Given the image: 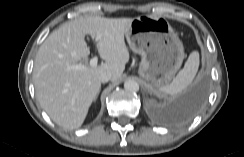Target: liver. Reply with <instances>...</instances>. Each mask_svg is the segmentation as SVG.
I'll return each mask as SVG.
<instances>
[{"mask_svg":"<svg viewBox=\"0 0 244 157\" xmlns=\"http://www.w3.org/2000/svg\"><path fill=\"white\" fill-rule=\"evenodd\" d=\"M132 18L88 16L62 24L40 46L34 61L33 83L42 109L59 126L79 128L96 100L101 82L99 75L110 72L117 81L129 61L124 36ZM96 41L103 60L99 66L88 65L90 54L85 41ZM84 62L85 69L71 67Z\"/></svg>","mask_w":244,"mask_h":157,"instance_id":"obj_1","label":"liver"}]
</instances>
